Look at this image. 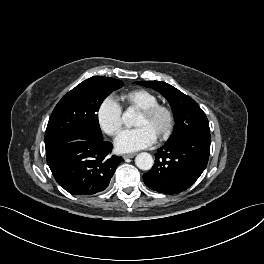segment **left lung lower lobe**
<instances>
[{"mask_svg": "<svg viewBox=\"0 0 264 264\" xmlns=\"http://www.w3.org/2000/svg\"><path fill=\"white\" fill-rule=\"evenodd\" d=\"M210 134H199L179 142H166L155 154L151 170L143 174L150 189L175 194L188 189L207 166Z\"/></svg>", "mask_w": 264, "mask_h": 264, "instance_id": "left-lung-lower-lobe-1", "label": "left lung lower lobe"}]
</instances>
